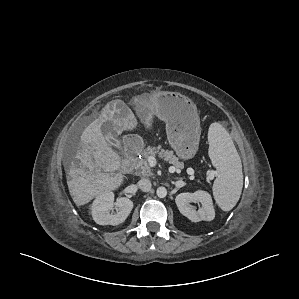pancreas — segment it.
<instances>
[{
    "instance_id": "obj_1",
    "label": "pancreas",
    "mask_w": 299,
    "mask_h": 299,
    "mask_svg": "<svg viewBox=\"0 0 299 299\" xmlns=\"http://www.w3.org/2000/svg\"><path fill=\"white\" fill-rule=\"evenodd\" d=\"M158 155L159 158L164 159L170 164L174 165L176 168H183V163L173 154V151H168L164 149H156L155 147H148L144 153V159L139 160L135 164L136 174L143 176H151L152 171L150 163L148 161L149 157Z\"/></svg>"
}]
</instances>
